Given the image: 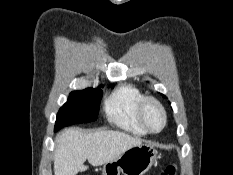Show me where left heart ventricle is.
I'll list each match as a JSON object with an SVG mask.
<instances>
[{"label":"left heart ventricle","instance_id":"left-heart-ventricle-1","mask_svg":"<svg viewBox=\"0 0 233 175\" xmlns=\"http://www.w3.org/2000/svg\"><path fill=\"white\" fill-rule=\"evenodd\" d=\"M145 116L150 128L156 130L162 126V114L154 104H149L147 106Z\"/></svg>","mask_w":233,"mask_h":175}]
</instances>
